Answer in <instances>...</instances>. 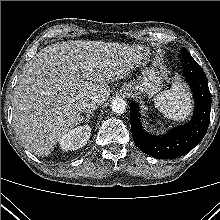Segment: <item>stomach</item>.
<instances>
[{
  "instance_id": "1",
  "label": "stomach",
  "mask_w": 220,
  "mask_h": 220,
  "mask_svg": "<svg viewBox=\"0 0 220 220\" xmlns=\"http://www.w3.org/2000/svg\"><path fill=\"white\" fill-rule=\"evenodd\" d=\"M143 64L147 66L144 67L139 78L125 83L121 88L123 92L134 91L152 97L162 89L165 74L155 62L152 50L147 49L143 53Z\"/></svg>"
}]
</instances>
